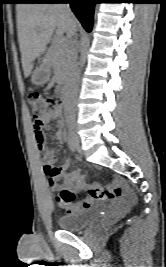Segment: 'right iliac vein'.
<instances>
[{
  "label": "right iliac vein",
  "mask_w": 166,
  "mask_h": 267,
  "mask_svg": "<svg viewBox=\"0 0 166 267\" xmlns=\"http://www.w3.org/2000/svg\"><path fill=\"white\" fill-rule=\"evenodd\" d=\"M69 134L71 135V137L73 138L74 142L76 143V146H79V137L77 135V130L76 127L74 125H71L69 128Z\"/></svg>",
  "instance_id": "1"
}]
</instances>
